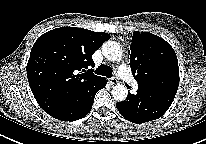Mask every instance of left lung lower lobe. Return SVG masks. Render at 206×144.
<instances>
[{"instance_id":"obj_1","label":"left lung lower lobe","mask_w":206,"mask_h":144,"mask_svg":"<svg viewBox=\"0 0 206 144\" xmlns=\"http://www.w3.org/2000/svg\"><path fill=\"white\" fill-rule=\"evenodd\" d=\"M173 99L168 95L151 97L144 86H139L136 94L128 93L116 107L120 114L133 123H145L160 118L168 110Z\"/></svg>"}]
</instances>
